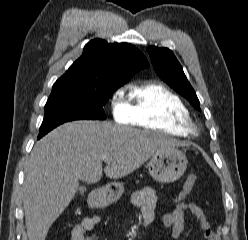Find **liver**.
Instances as JSON below:
<instances>
[{
	"label": "liver",
	"mask_w": 248,
	"mask_h": 240,
	"mask_svg": "<svg viewBox=\"0 0 248 240\" xmlns=\"http://www.w3.org/2000/svg\"><path fill=\"white\" fill-rule=\"evenodd\" d=\"M184 144L164 135L108 122L65 123L39 140L25 168L23 206L29 240H45L49 228L74 198L79 180L122 178L152 156Z\"/></svg>",
	"instance_id": "obj_1"
}]
</instances>
